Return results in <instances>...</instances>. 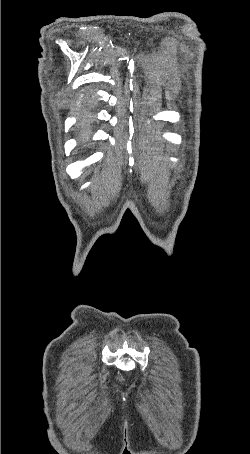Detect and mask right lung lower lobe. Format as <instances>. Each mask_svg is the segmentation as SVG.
Here are the masks:
<instances>
[{
	"mask_svg": "<svg viewBox=\"0 0 250 454\" xmlns=\"http://www.w3.org/2000/svg\"><path fill=\"white\" fill-rule=\"evenodd\" d=\"M94 122L95 119L92 110V104L89 101V98L86 97L85 102L83 103L81 108L78 125L84 134H88L90 129L93 127Z\"/></svg>",
	"mask_w": 250,
	"mask_h": 454,
	"instance_id": "98d812e1",
	"label": "right lung lower lobe"
}]
</instances>
